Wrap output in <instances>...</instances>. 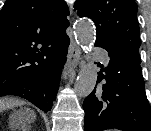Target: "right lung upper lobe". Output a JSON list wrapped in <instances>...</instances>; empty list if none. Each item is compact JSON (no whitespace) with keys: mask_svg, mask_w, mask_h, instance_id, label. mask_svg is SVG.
Here are the masks:
<instances>
[{"mask_svg":"<svg viewBox=\"0 0 151 131\" xmlns=\"http://www.w3.org/2000/svg\"><path fill=\"white\" fill-rule=\"evenodd\" d=\"M64 0H6L0 12V94L39 70L65 38Z\"/></svg>","mask_w":151,"mask_h":131,"instance_id":"obj_1","label":"right lung upper lobe"}]
</instances>
